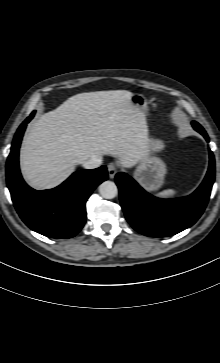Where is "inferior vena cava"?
I'll return each instance as SVG.
<instances>
[{
  "label": "inferior vena cava",
  "mask_w": 220,
  "mask_h": 363,
  "mask_svg": "<svg viewBox=\"0 0 220 363\" xmlns=\"http://www.w3.org/2000/svg\"><path fill=\"white\" fill-rule=\"evenodd\" d=\"M102 164V158L92 157L82 163V166L86 169H95Z\"/></svg>",
  "instance_id": "1"
}]
</instances>
